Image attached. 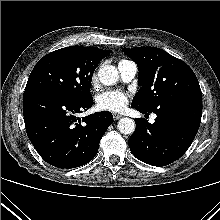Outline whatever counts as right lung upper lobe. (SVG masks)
<instances>
[{"instance_id":"1","label":"right lung upper lobe","mask_w":220,"mask_h":220,"mask_svg":"<svg viewBox=\"0 0 220 220\" xmlns=\"http://www.w3.org/2000/svg\"><path fill=\"white\" fill-rule=\"evenodd\" d=\"M77 49L83 55H86L96 61H99V62L111 52V50H102V49L95 48V47L77 46Z\"/></svg>"}]
</instances>
